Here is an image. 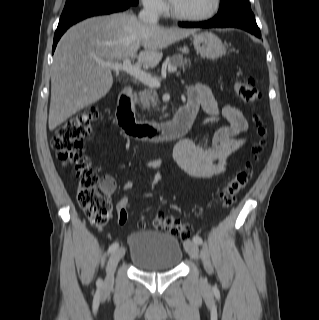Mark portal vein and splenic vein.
<instances>
[{
    "label": "portal vein and splenic vein",
    "mask_w": 319,
    "mask_h": 320,
    "mask_svg": "<svg viewBox=\"0 0 319 320\" xmlns=\"http://www.w3.org/2000/svg\"><path fill=\"white\" fill-rule=\"evenodd\" d=\"M101 65L103 67L114 70L115 72L124 71L129 75L135 77L142 83L149 85L150 87H160V81L150 74L143 71L139 66L132 65L129 58L123 60L122 63L119 62H102ZM177 70L174 66L168 67V72L173 73Z\"/></svg>",
    "instance_id": "portal-vein-and-splenic-vein-1"
}]
</instances>
